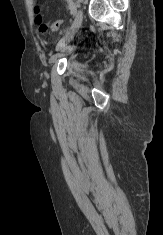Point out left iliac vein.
Instances as JSON below:
<instances>
[{
    "instance_id": "left-iliac-vein-1",
    "label": "left iliac vein",
    "mask_w": 163,
    "mask_h": 235,
    "mask_svg": "<svg viewBox=\"0 0 163 235\" xmlns=\"http://www.w3.org/2000/svg\"><path fill=\"white\" fill-rule=\"evenodd\" d=\"M82 21H83V12L81 9H79L76 13L73 23L71 24L69 29L66 31L64 36L60 39V41L57 44L56 49L58 51L61 50L62 52L61 54L57 55V57H60L65 53L69 52V49L66 48V45L72 41L75 34L78 32L79 28L81 27Z\"/></svg>"
}]
</instances>
